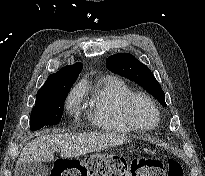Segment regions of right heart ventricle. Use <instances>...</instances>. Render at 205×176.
<instances>
[{
  "instance_id": "1",
  "label": "right heart ventricle",
  "mask_w": 205,
  "mask_h": 176,
  "mask_svg": "<svg viewBox=\"0 0 205 176\" xmlns=\"http://www.w3.org/2000/svg\"><path fill=\"white\" fill-rule=\"evenodd\" d=\"M121 78L106 75L99 78L89 94L88 112L96 127L112 134H129L135 128L124 116L125 100L133 94Z\"/></svg>"
}]
</instances>
